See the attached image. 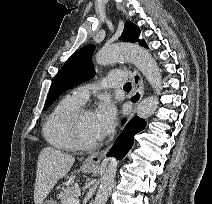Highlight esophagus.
Here are the masks:
<instances>
[{
  "mask_svg": "<svg viewBox=\"0 0 212 204\" xmlns=\"http://www.w3.org/2000/svg\"><path fill=\"white\" fill-rule=\"evenodd\" d=\"M131 78H132V94L139 93L140 96L142 97L143 93H144L143 78L141 77L140 73L137 70H133L131 72ZM135 107H136V105H135ZM135 107H134L131 115L129 116V118L134 114ZM111 146L112 145L108 146L105 150H103L100 153H94V154L90 155L89 157H87V159L85 160V164L89 165V166L98 165L101 162V160L103 159V157L105 156V154L109 151Z\"/></svg>",
  "mask_w": 212,
  "mask_h": 204,
  "instance_id": "obj_1",
  "label": "esophagus"
}]
</instances>
